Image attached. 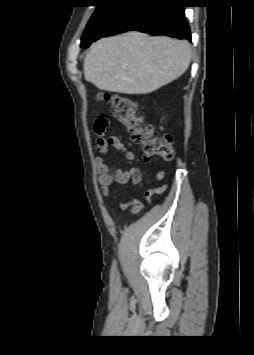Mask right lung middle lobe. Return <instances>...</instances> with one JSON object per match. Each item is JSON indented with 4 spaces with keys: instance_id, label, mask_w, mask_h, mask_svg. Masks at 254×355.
<instances>
[{
    "instance_id": "1",
    "label": "right lung middle lobe",
    "mask_w": 254,
    "mask_h": 355,
    "mask_svg": "<svg viewBox=\"0 0 254 355\" xmlns=\"http://www.w3.org/2000/svg\"><path fill=\"white\" fill-rule=\"evenodd\" d=\"M118 5L117 3L99 5L86 26L82 41L91 42Z\"/></svg>"
}]
</instances>
